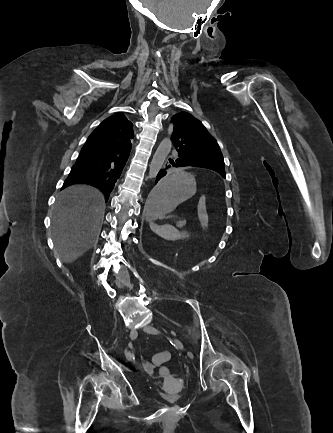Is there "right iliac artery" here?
<instances>
[{
    "mask_svg": "<svg viewBox=\"0 0 333 433\" xmlns=\"http://www.w3.org/2000/svg\"><path fill=\"white\" fill-rule=\"evenodd\" d=\"M132 346V343L130 342L129 344H128V347H131ZM125 355H127V349H125Z\"/></svg>",
    "mask_w": 333,
    "mask_h": 433,
    "instance_id": "obj_1",
    "label": "right iliac artery"
}]
</instances>
